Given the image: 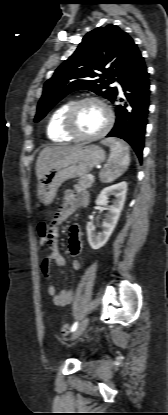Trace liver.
<instances>
[{
	"instance_id": "obj_1",
	"label": "liver",
	"mask_w": 168,
	"mask_h": 415,
	"mask_svg": "<svg viewBox=\"0 0 168 415\" xmlns=\"http://www.w3.org/2000/svg\"><path fill=\"white\" fill-rule=\"evenodd\" d=\"M80 145L76 146H52L44 148L37 159L36 162V175L38 180L43 176V174L48 170L50 165L60 158L66 156Z\"/></svg>"
}]
</instances>
